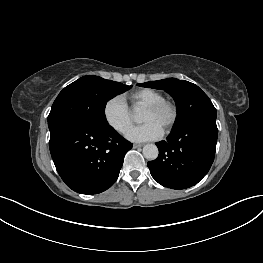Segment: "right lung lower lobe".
Wrapping results in <instances>:
<instances>
[{"instance_id": "right-lung-lower-lobe-1", "label": "right lung lower lobe", "mask_w": 263, "mask_h": 263, "mask_svg": "<svg viewBox=\"0 0 263 263\" xmlns=\"http://www.w3.org/2000/svg\"><path fill=\"white\" fill-rule=\"evenodd\" d=\"M49 129L57 172L69 188L81 194H98L111 187L133 145L109 124L62 120Z\"/></svg>"}]
</instances>
